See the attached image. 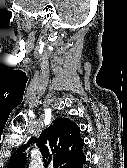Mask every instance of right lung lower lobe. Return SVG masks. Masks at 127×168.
I'll return each mask as SVG.
<instances>
[{
  "label": "right lung lower lobe",
  "instance_id": "98d812e1",
  "mask_svg": "<svg viewBox=\"0 0 127 168\" xmlns=\"http://www.w3.org/2000/svg\"><path fill=\"white\" fill-rule=\"evenodd\" d=\"M84 162H85V158L79 164H77L74 168H83Z\"/></svg>",
  "mask_w": 127,
  "mask_h": 168
}]
</instances>
